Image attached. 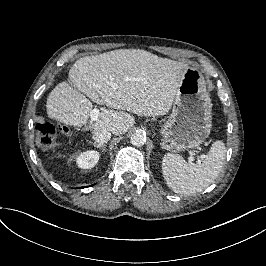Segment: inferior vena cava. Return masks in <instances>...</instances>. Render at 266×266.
<instances>
[{
	"instance_id": "1",
	"label": "inferior vena cava",
	"mask_w": 266,
	"mask_h": 266,
	"mask_svg": "<svg viewBox=\"0 0 266 266\" xmlns=\"http://www.w3.org/2000/svg\"><path fill=\"white\" fill-rule=\"evenodd\" d=\"M92 137L100 144H105L111 139V133L107 130H94Z\"/></svg>"
}]
</instances>
